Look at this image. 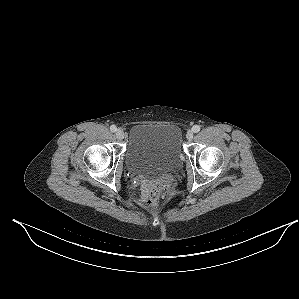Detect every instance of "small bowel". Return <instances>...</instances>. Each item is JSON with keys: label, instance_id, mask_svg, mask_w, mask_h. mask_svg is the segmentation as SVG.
<instances>
[{"label": "small bowel", "instance_id": "small-bowel-1", "mask_svg": "<svg viewBox=\"0 0 299 299\" xmlns=\"http://www.w3.org/2000/svg\"><path fill=\"white\" fill-rule=\"evenodd\" d=\"M146 191H147V187L145 186V187H144V193H145V194H146Z\"/></svg>", "mask_w": 299, "mask_h": 299}]
</instances>
